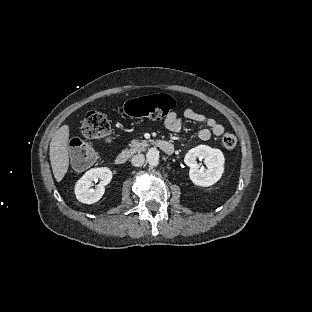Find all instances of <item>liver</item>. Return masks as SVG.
<instances>
[{"mask_svg":"<svg viewBox=\"0 0 312 312\" xmlns=\"http://www.w3.org/2000/svg\"><path fill=\"white\" fill-rule=\"evenodd\" d=\"M68 139L69 127L63 125L55 132L50 142V161L57 182H60L63 179L69 167L67 151Z\"/></svg>","mask_w":312,"mask_h":312,"instance_id":"6515ba94","label":"liver"}]
</instances>
